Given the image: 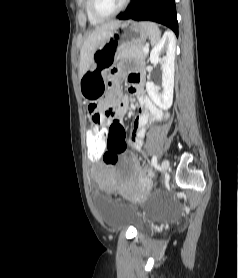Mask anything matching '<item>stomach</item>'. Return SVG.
<instances>
[{"instance_id": "0dacf381", "label": "stomach", "mask_w": 238, "mask_h": 278, "mask_svg": "<svg viewBox=\"0 0 238 278\" xmlns=\"http://www.w3.org/2000/svg\"><path fill=\"white\" fill-rule=\"evenodd\" d=\"M149 30L143 23L121 22L110 32L108 40L93 55L91 67L80 78V92L84 99L96 102L108 86L107 73L118 60L119 51L133 44L143 45Z\"/></svg>"}]
</instances>
